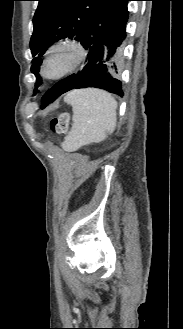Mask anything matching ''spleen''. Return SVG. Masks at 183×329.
Returning a JSON list of instances; mask_svg holds the SVG:
<instances>
[{"mask_svg": "<svg viewBox=\"0 0 183 329\" xmlns=\"http://www.w3.org/2000/svg\"><path fill=\"white\" fill-rule=\"evenodd\" d=\"M64 101L73 111L72 128L63 144L66 151L100 143L114 131L117 102L110 93L95 88L73 90Z\"/></svg>", "mask_w": 183, "mask_h": 329, "instance_id": "spleen-1", "label": "spleen"}]
</instances>
